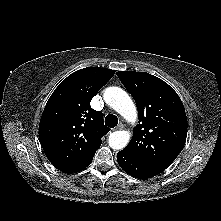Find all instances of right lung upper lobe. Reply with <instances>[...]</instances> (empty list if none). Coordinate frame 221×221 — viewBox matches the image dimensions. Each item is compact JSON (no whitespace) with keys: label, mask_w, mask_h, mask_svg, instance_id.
<instances>
[{"label":"right lung upper lobe","mask_w":221,"mask_h":221,"mask_svg":"<svg viewBox=\"0 0 221 221\" xmlns=\"http://www.w3.org/2000/svg\"><path fill=\"white\" fill-rule=\"evenodd\" d=\"M115 71L87 67L63 80L49 98L39 124V138L49 161L60 171L72 173L92 161L101 137L110 129L91 99Z\"/></svg>","instance_id":"right-lung-upper-lobe-1"}]
</instances>
